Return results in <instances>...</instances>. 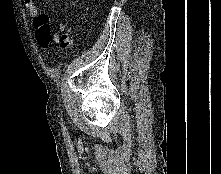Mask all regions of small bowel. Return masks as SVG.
<instances>
[{
  "mask_svg": "<svg viewBox=\"0 0 221 174\" xmlns=\"http://www.w3.org/2000/svg\"><path fill=\"white\" fill-rule=\"evenodd\" d=\"M24 4L28 14L33 18L34 27L36 29V38L38 43L46 48L51 41L57 43L61 47H69L72 41L69 36V26L66 23H59L58 29L60 33H51L49 20L46 16L39 15L36 0H24Z\"/></svg>",
  "mask_w": 221,
  "mask_h": 174,
  "instance_id": "1",
  "label": "small bowel"
}]
</instances>
